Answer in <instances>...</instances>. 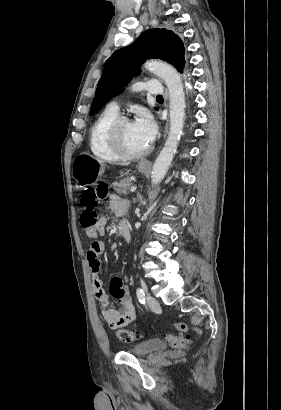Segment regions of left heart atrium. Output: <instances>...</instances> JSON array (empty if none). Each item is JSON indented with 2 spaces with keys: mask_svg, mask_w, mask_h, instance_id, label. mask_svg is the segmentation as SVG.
<instances>
[{
  "mask_svg": "<svg viewBox=\"0 0 281 410\" xmlns=\"http://www.w3.org/2000/svg\"><path fill=\"white\" fill-rule=\"evenodd\" d=\"M133 127L145 144L149 145L154 140L157 126L155 120L148 111L142 109L138 112L136 119L133 121Z\"/></svg>",
  "mask_w": 281,
  "mask_h": 410,
  "instance_id": "left-heart-atrium-1",
  "label": "left heart atrium"
}]
</instances>
